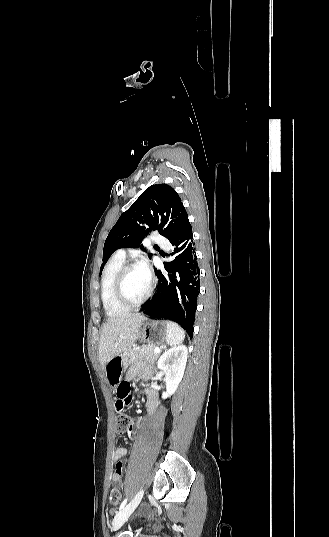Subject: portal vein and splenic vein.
I'll return each mask as SVG.
<instances>
[{"label":"portal vein and splenic vein","instance_id":"obj_1","mask_svg":"<svg viewBox=\"0 0 329 537\" xmlns=\"http://www.w3.org/2000/svg\"><path fill=\"white\" fill-rule=\"evenodd\" d=\"M154 351H155L156 353H159V352H160V349H159V348H155Z\"/></svg>","mask_w":329,"mask_h":537}]
</instances>
